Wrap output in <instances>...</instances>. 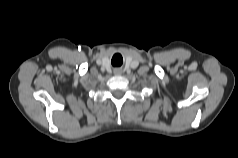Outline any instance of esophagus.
<instances>
[{"label": "esophagus", "instance_id": "esophagus-1", "mask_svg": "<svg viewBox=\"0 0 238 158\" xmlns=\"http://www.w3.org/2000/svg\"><path fill=\"white\" fill-rule=\"evenodd\" d=\"M121 73H122V71L120 69H115L114 70L115 75H120Z\"/></svg>", "mask_w": 238, "mask_h": 158}]
</instances>
